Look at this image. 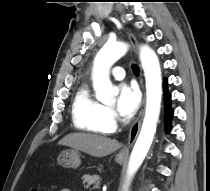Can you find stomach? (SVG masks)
Instances as JSON below:
<instances>
[{"label":"stomach","instance_id":"0dacf381","mask_svg":"<svg viewBox=\"0 0 210 191\" xmlns=\"http://www.w3.org/2000/svg\"><path fill=\"white\" fill-rule=\"evenodd\" d=\"M115 161L119 164L124 163L125 158L117 155ZM57 162L64 168H77L80 166V155L77 150H65L57 158Z\"/></svg>","mask_w":210,"mask_h":191}]
</instances>
